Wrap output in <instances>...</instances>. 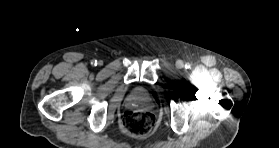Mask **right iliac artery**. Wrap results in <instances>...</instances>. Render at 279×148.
<instances>
[{"label":"right iliac artery","mask_w":279,"mask_h":148,"mask_svg":"<svg viewBox=\"0 0 279 148\" xmlns=\"http://www.w3.org/2000/svg\"><path fill=\"white\" fill-rule=\"evenodd\" d=\"M91 64H92L93 66H96V65H97V60H92V61H91Z\"/></svg>","instance_id":"1"}]
</instances>
